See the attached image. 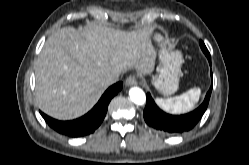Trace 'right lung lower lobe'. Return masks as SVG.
<instances>
[{
    "mask_svg": "<svg viewBox=\"0 0 249 165\" xmlns=\"http://www.w3.org/2000/svg\"><path fill=\"white\" fill-rule=\"evenodd\" d=\"M122 82L109 87L102 95L98 103L84 116L71 121H58L41 113L47 124L60 134L69 137H81L94 132L102 123L109 102L122 89Z\"/></svg>",
    "mask_w": 249,
    "mask_h": 165,
    "instance_id": "right-lung-lower-lobe-1",
    "label": "right lung lower lobe"
}]
</instances>
